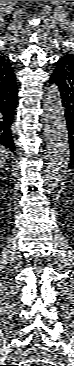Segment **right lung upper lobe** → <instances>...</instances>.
Listing matches in <instances>:
<instances>
[{
	"mask_svg": "<svg viewBox=\"0 0 74 366\" xmlns=\"http://www.w3.org/2000/svg\"><path fill=\"white\" fill-rule=\"evenodd\" d=\"M12 63L8 57L0 54V83H7L14 77Z\"/></svg>",
	"mask_w": 74,
	"mask_h": 366,
	"instance_id": "1",
	"label": "right lung upper lobe"
}]
</instances>
